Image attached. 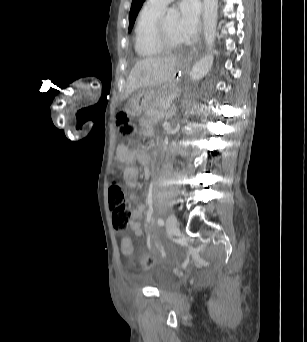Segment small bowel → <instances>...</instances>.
<instances>
[{
	"label": "small bowel",
	"instance_id": "obj_1",
	"mask_svg": "<svg viewBox=\"0 0 307 342\" xmlns=\"http://www.w3.org/2000/svg\"><path fill=\"white\" fill-rule=\"evenodd\" d=\"M120 158L123 162H125L128 166L125 170L124 177L125 181L128 186L134 188L138 185V172L137 169L134 167L135 162H139L143 164V160L148 161V155L144 151L140 150H133L129 148H123L120 151ZM144 176L148 177L149 175V168L148 166H144ZM130 200L136 206L133 210V219L130 222L131 231L132 232H142L141 224L139 219L144 215L145 206L139 202L138 197L135 194H130ZM122 240H131V239H122Z\"/></svg>",
	"mask_w": 307,
	"mask_h": 342
}]
</instances>
